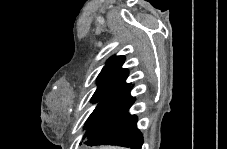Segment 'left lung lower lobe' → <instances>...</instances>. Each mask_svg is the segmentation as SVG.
I'll list each match as a JSON object with an SVG mask.
<instances>
[{
    "mask_svg": "<svg viewBox=\"0 0 227 149\" xmlns=\"http://www.w3.org/2000/svg\"><path fill=\"white\" fill-rule=\"evenodd\" d=\"M131 89L132 86L113 109L98 122L83 144L88 146L118 145L141 149L143 136L136 125L137 117L128 112L135 101V98L130 95Z\"/></svg>",
    "mask_w": 227,
    "mask_h": 149,
    "instance_id": "0a47b994",
    "label": "left lung lower lobe"
}]
</instances>
